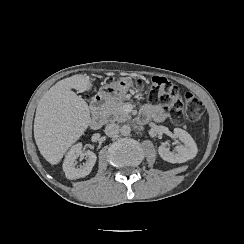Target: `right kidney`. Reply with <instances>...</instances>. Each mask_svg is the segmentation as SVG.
Masks as SVG:
<instances>
[{
	"label": "right kidney",
	"instance_id": "ca27d5eb",
	"mask_svg": "<svg viewBox=\"0 0 244 244\" xmlns=\"http://www.w3.org/2000/svg\"><path fill=\"white\" fill-rule=\"evenodd\" d=\"M79 156H86L87 161L79 168H76L75 161ZM96 159L97 157L94 152L89 150L83 152L82 143H77L76 145L72 146L70 151L67 153L63 163V171L65 172L66 177L70 180L85 177L90 174L93 166L95 165Z\"/></svg>",
	"mask_w": 244,
	"mask_h": 244
}]
</instances>
